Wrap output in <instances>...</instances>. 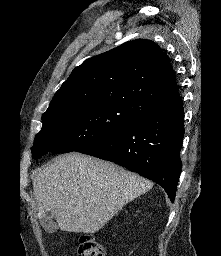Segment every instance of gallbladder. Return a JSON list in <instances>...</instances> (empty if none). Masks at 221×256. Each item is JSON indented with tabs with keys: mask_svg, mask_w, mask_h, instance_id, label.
I'll return each instance as SVG.
<instances>
[{
	"mask_svg": "<svg viewBox=\"0 0 221 256\" xmlns=\"http://www.w3.org/2000/svg\"><path fill=\"white\" fill-rule=\"evenodd\" d=\"M54 219L55 214L51 211L41 218V224L47 232L52 233L57 230V225L54 222Z\"/></svg>",
	"mask_w": 221,
	"mask_h": 256,
	"instance_id": "bac80fb5",
	"label": "gallbladder"
}]
</instances>
